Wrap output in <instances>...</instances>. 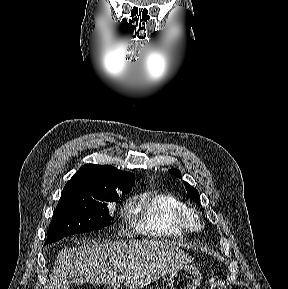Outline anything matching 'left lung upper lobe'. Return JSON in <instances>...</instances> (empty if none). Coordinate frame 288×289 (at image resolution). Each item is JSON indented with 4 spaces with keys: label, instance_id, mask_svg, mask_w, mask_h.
<instances>
[{
    "label": "left lung upper lobe",
    "instance_id": "obj_1",
    "mask_svg": "<svg viewBox=\"0 0 288 289\" xmlns=\"http://www.w3.org/2000/svg\"><path fill=\"white\" fill-rule=\"evenodd\" d=\"M169 172L172 173L174 176L181 177L180 171L178 169H170ZM184 184L188 192V197L192 198V200L196 203H200V196L198 191L185 181Z\"/></svg>",
    "mask_w": 288,
    "mask_h": 289
}]
</instances>
